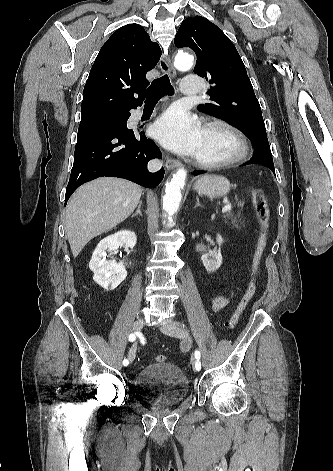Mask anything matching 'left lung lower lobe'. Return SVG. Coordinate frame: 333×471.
Listing matches in <instances>:
<instances>
[{"label":"left lung lower lobe","instance_id":"obj_1","mask_svg":"<svg viewBox=\"0 0 333 471\" xmlns=\"http://www.w3.org/2000/svg\"><path fill=\"white\" fill-rule=\"evenodd\" d=\"M248 164H261V165H264V166L270 168L271 171L275 174L274 163H273L272 155H270V154H260V155L253 156L248 162H246L242 165H248ZM204 172L205 171H194L193 175L196 176V175L202 174Z\"/></svg>","mask_w":333,"mask_h":471}]
</instances>
